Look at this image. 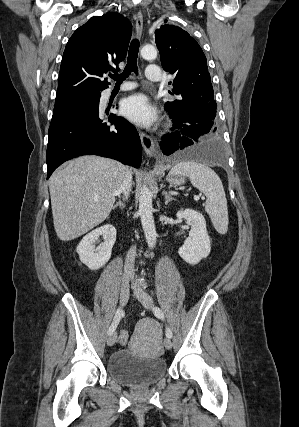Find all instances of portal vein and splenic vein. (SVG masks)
I'll return each instance as SVG.
<instances>
[{"label":"portal vein and splenic vein","mask_w":299,"mask_h":427,"mask_svg":"<svg viewBox=\"0 0 299 427\" xmlns=\"http://www.w3.org/2000/svg\"><path fill=\"white\" fill-rule=\"evenodd\" d=\"M194 199H195V200H199V199H200V196H194Z\"/></svg>","instance_id":"obj_1"}]
</instances>
